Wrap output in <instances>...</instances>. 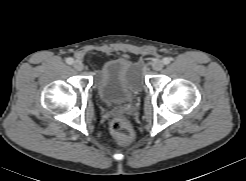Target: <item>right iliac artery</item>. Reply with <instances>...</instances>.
Masks as SVG:
<instances>
[{
  "label": "right iliac artery",
  "instance_id": "1",
  "mask_svg": "<svg viewBox=\"0 0 246 181\" xmlns=\"http://www.w3.org/2000/svg\"><path fill=\"white\" fill-rule=\"evenodd\" d=\"M73 62H74L73 61V58H71V57H69V58L66 59V63L67 64H70L71 65Z\"/></svg>",
  "mask_w": 246,
  "mask_h": 181
}]
</instances>
